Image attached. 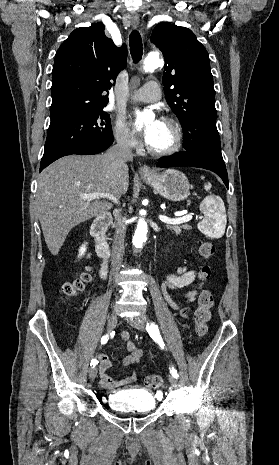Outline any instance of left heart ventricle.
Segmentation results:
<instances>
[{"mask_svg": "<svg viewBox=\"0 0 279 465\" xmlns=\"http://www.w3.org/2000/svg\"><path fill=\"white\" fill-rule=\"evenodd\" d=\"M155 121L150 122L148 127L153 126ZM175 134L173 128L167 123L160 122L153 130L150 139L147 141L154 150H165L174 143Z\"/></svg>", "mask_w": 279, "mask_h": 465, "instance_id": "1", "label": "left heart ventricle"}]
</instances>
